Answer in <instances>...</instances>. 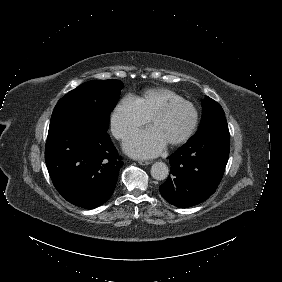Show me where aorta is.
Here are the masks:
<instances>
[{
    "instance_id": "1",
    "label": "aorta",
    "mask_w": 282,
    "mask_h": 282,
    "mask_svg": "<svg viewBox=\"0 0 282 282\" xmlns=\"http://www.w3.org/2000/svg\"><path fill=\"white\" fill-rule=\"evenodd\" d=\"M168 173V166L164 162H155L151 166V175L156 180H163L167 178Z\"/></svg>"
}]
</instances>
